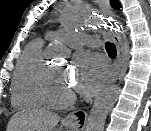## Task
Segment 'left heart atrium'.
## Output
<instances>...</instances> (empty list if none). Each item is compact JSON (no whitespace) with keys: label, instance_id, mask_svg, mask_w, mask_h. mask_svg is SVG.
<instances>
[{"label":"left heart atrium","instance_id":"left-heart-atrium-1","mask_svg":"<svg viewBox=\"0 0 151 131\" xmlns=\"http://www.w3.org/2000/svg\"><path fill=\"white\" fill-rule=\"evenodd\" d=\"M72 89L84 96L95 94L107 79L105 66L89 54H79L73 62Z\"/></svg>","mask_w":151,"mask_h":131}]
</instances>
